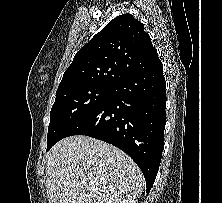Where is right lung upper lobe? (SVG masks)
Returning a JSON list of instances; mask_svg holds the SVG:
<instances>
[{"mask_svg":"<svg viewBox=\"0 0 222 203\" xmlns=\"http://www.w3.org/2000/svg\"><path fill=\"white\" fill-rule=\"evenodd\" d=\"M158 59L143 24L131 14L110 21L74 56L57 89L96 85L113 87L137 68Z\"/></svg>","mask_w":222,"mask_h":203,"instance_id":"1","label":"right lung upper lobe"}]
</instances>
